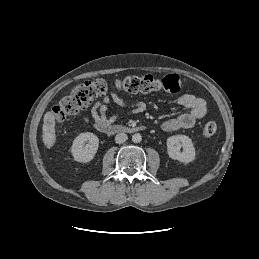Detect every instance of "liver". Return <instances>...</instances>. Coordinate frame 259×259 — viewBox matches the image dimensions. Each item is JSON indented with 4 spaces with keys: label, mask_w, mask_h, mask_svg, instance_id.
Returning <instances> with one entry per match:
<instances>
[{
    "label": "liver",
    "mask_w": 259,
    "mask_h": 259,
    "mask_svg": "<svg viewBox=\"0 0 259 259\" xmlns=\"http://www.w3.org/2000/svg\"><path fill=\"white\" fill-rule=\"evenodd\" d=\"M55 114L51 111L46 112L43 118L42 140L47 149H51L56 142Z\"/></svg>",
    "instance_id": "6515ba94"
}]
</instances>
